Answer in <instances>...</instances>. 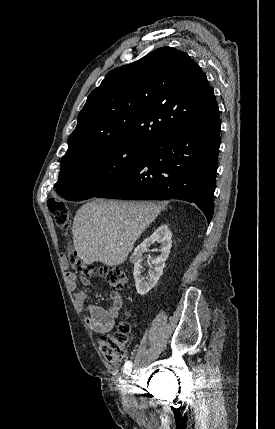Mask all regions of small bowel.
<instances>
[{
	"label": "small bowel",
	"mask_w": 275,
	"mask_h": 429,
	"mask_svg": "<svg viewBox=\"0 0 275 429\" xmlns=\"http://www.w3.org/2000/svg\"><path fill=\"white\" fill-rule=\"evenodd\" d=\"M66 279L70 289L74 291L77 305L88 313L84 319L88 328L98 334L109 332L113 328L123 304L121 295L117 291H111L109 295L111 304L107 308L88 304L85 291L77 288L78 280L76 275L72 272H67ZM81 283L84 286H89L91 280L89 278H81Z\"/></svg>",
	"instance_id": "small-bowel-1"
}]
</instances>
